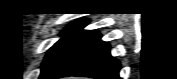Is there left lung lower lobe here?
<instances>
[{
    "label": "left lung lower lobe",
    "instance_id": "1",
    "mask_svg": "<svg viewBox=\"0 0 177 79\" xmlns=\"http://www.w3.org/2000/svg\"><path fill=\"white\" fill-rule=\"evenodd\" d=\"M97 31H91L69 51L49 79L84 76L96 79H119V62L110 55L109 44L100 40Z\"/></svg>",
    "mask_w": 177,
    "mask_h": 79
}]
</instances>
